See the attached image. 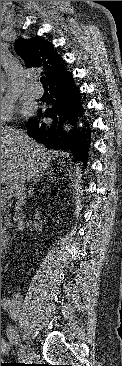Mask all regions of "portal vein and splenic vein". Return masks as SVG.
Listing matches in <instances>:
<instances>
[{"label":"portal vein and splenic vein","mask_w":122,"mask_h":366,"mask_svg":"<svg viewBox=\"0 0 122 366\" xmlns=\"http://www.w3.org/2000/svg\"><path fill=\"white\" fill-rule=\"evenodd\" d=\"M1 197L5 198V199L11 198L10 191L8 189H2L1 190Z\"/></svg>","instance_id":"obj_1"}]
</instances>
